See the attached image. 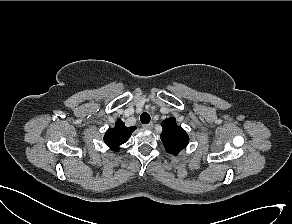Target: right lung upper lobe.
Here are the masks:
<instances>
[{
	"label": "right lung upper lobe",
	"mask_w": 292,
	"mask_h": 224,
	"mask_svg": "<svg viewBox=\"0 0 292 224\" xmlns=\"http://www.w3.org/2000/svg\"><path fill=\"white\" fill-rule=\"evenodd\" d=\"M136 127H126L120 119L115 123L114 128H109L104 136V142L112 150L118 151L119 147L127 142Z\"/></svg>",
	"instance_id": "right-lung-upper-lobe-1"
}]
</instances>
